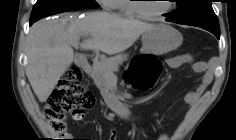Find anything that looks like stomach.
<instances>
[{
  "instance_id": "stomach-1",
  "label": "stomach",
  "mask_w": 236,
  "mask_h": 140,
  "mask_svg": "<svg viewBox=\"0 0 236 140\" xmlns=\"http://www.w3.org/2000/svg\"><path fill=\"white\" fill-rule=\"evenodd\" d=\"M183 36L174 27L159 23L142 35L141 53L144 55H163L181 46Z\"/></svg>"
}]
</instances>
